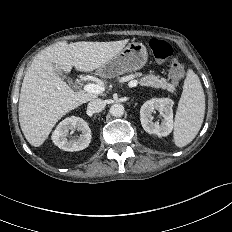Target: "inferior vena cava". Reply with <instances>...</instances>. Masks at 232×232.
Listing matches in <instances>:
<instances>
[{
  "mask_svg": "<svg viewBox=\"0 0 232 232\" xmlns=\"http://www.w3.org/2000/svg\"><path fill=\"white\" fill-rule=\"evenodd\" d=\"M106 106V102L102 99H93L88 103V110L92 113L101 112Z\"/></svg>",
  "mask_w": 232,
  "mask_h": 232,
  "instance_id": "inferior-vena-cava-1",
  "label": "inferior vena cava"
}]
</instances>
